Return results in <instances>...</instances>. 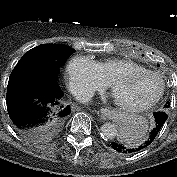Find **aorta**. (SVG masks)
<instances>
[{
  "label": "aorta",
  "instance_id": "aorta-1",
  "mask_svg": "<svg viewBox=\"0 0 177 177\" xmlns=\"http://www.w3.org/2000/svg\"><path fill=\"white\" fill-rule=\"evenodd\" d=\"M117 128L112 123H105L101 126V136L104 139L112 140L117 136Z\"/></svg>",
  "mask_w": 177,
  "mask_h": 177
}]
</instances>
